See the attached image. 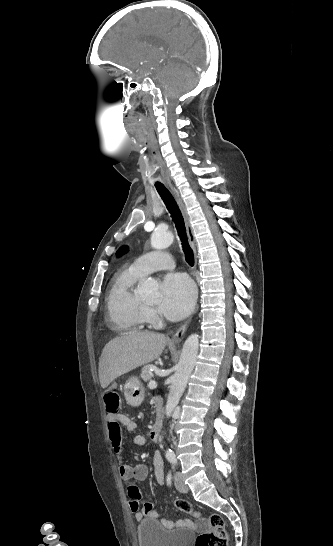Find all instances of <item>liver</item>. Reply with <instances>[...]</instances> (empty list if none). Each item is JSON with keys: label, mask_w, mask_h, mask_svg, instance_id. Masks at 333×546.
Returning <instances> with one entry per match:
<instances>
[{"label": "liver", "mask_w": 333, "mask_h": 546, "mask_svg": "<svg viewBox=\"0 0 333 546\" xmlns=\"http://www.w3.org/2000/svg\"><path fill=\"white\" fill-rule=\"evenodd\" d=\"M167 338L155 333H128L107 343L99 360V380L106 388L117 377L158 358Z\"/></svg>", "instance_id": "6515ba94"}]
</instances>
